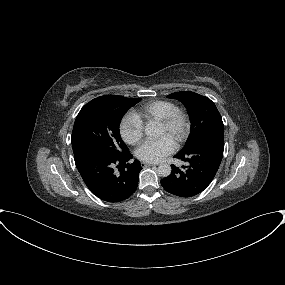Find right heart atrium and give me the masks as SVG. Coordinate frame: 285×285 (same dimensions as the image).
Instances as JSON below:
<instances>
[{
  "label": "right heart atrium",
  "instance_id": "1",
  "mask_svg": "<svg viewBox=\"0 0 285 285\" xmlns=\"http://www.w3.org/2000/svg\"><path fill=\"white\" fill-rule=\"evenodd\" d=\"M143 129L142 121L134 113L124 115L119 123L120 136L130 145H137L141 142Z\"/></svg>",
  "mask_w": 285,
  "mask_h": 285
}]
</instances>
